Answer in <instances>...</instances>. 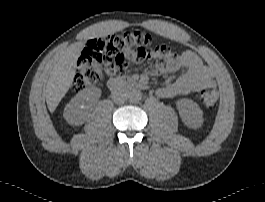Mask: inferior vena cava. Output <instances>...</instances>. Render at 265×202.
Returning <instances> with one entry per match:
<instances>
[{
	"instance_id": "obj_1",
	"label": "inferior vena cava",
	"mask_w": 265,
	"mask_h": 202,
	"mask_svg": "<svg viewBox=\"0 0 265 202\" xmlns=\"http://www.w3.org/2000/svg\"><path fill=\"white\" fill-rule=\"evenodd\" d=\"M129 92L125 88L114 89L111 93L113 101L117 104H123L128 99Z\"/></svg>"
}]
</instances>
